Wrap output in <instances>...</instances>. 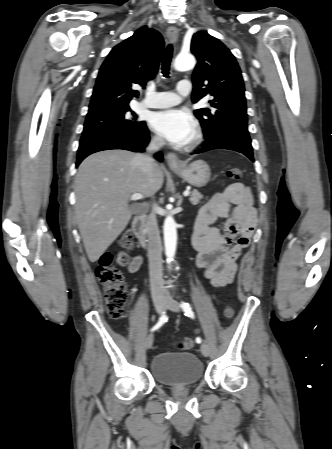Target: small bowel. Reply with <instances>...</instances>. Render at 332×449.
I'll list each match as a JSON object with an SVG mask.
<instances>
[{"instance_id":"1","label":"small bowel","mask_w":332,"mask_h":449,"mask_svg":"<svg viewBox=\"0 0 332 449\" xmlns=\"http://www.w3.org/2000/svg\"><path fill=\"white\" fill-rule=\"evenodd\" d=\"M257 224L250 191L243 184H232L215 194L201 207L195 219L193 245L197 265L216 288L230 284L242 251L249 245ZM130 273L139 270L140 256L118 254Z\"/></svg>"}]
</instances>
